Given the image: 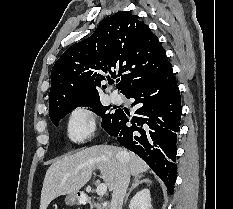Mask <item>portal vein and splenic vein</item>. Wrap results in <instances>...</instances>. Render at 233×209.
<instances>
[{
	"label": "portal vein and splenic vein",
	"mask_w": 233,
	"mask_h": 209,
	"mask_svg": "<svg viewBox=\"0 0 233 209\" xmlns=\"http://www.w3.org/2000/svg\"><path fill=\"white\" fill-rule=\"evenodd\" d=\"M107 192V186L104 183H101L96 188V193L98 196H104Z\"/></svg>",
	"instance_id": "18ae733b"
}]
</instances>
